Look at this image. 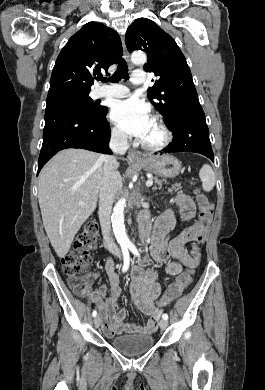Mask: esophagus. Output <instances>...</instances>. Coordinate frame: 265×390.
Wrapping results in <instances>:
<instances>
[{"instance_id": "obj_1", "label": "esophagus", "mask_w": 265, "mask_h": 390, "mask_svg": "<svg viewBox=\"0 0 265 390\" xmlns=\"http://www.w3.org/2000/svg\"><path fill=\"white\" fill-rule=\"evenodd\" d=\"M122 44H123V54H124V58H125L126 61L129 63V65L132 66V65H131V62H130V54H129L127 48H126L124 39H122ZM129 160L132 161V162H142V161H143V157H142V155L140 154V152H138L137 150L131 149V150L129 151Z\"/></svg>"}]
</instances>
